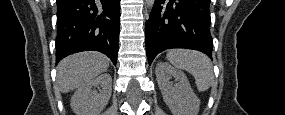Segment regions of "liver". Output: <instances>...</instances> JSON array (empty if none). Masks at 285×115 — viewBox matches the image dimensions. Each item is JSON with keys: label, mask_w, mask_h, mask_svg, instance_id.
I'll return each mask as SVG.
<instances>
[{"label": "liver", "mask_w": 285, "mask_h": 115, "mask_svg": "<svg viewBox=\"0 0 285 115\" xmlns=\"http://www.w3.org/2000/svg\"><path fill=\"white\" fill-rule=\"evenodd\" d=\"M109 67V59L98 52H83L64 58L57 66V84L63 93L93 80Z\"/></svg>", "instance_id": "liver-1"}]
</instances>
